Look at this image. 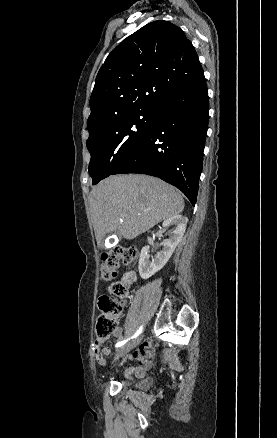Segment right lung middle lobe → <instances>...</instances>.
<instances>
[{"mask_svg": "<svg viewBox=\"0 0 277 438\" xmlns=\"http://www.w3.org/2000/svg\"><path fill=\"white\" fill-rule=\"evenodd\" d=\"M155 113L154 108L115 116L88 128L86 142L91 154L89 174L93 185L112 175L147 135Z\"/></svg>", "mask_w": 277, "mask_h": 438, "instance_id": "1", "label": "right lung middle lobe"}]
</instances>
